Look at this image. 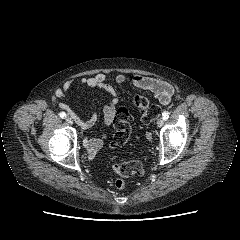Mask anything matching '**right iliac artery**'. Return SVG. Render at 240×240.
Here are the masks:
<instances>
[{
  "instance_id": "82829eb1",
  "label": "right iliac artery",
  "mask_w": 240,
  "mask_h": 240,
  "mask_svg": "<svg viewBox=\"0 0 240 240\" xmlns=\"http://www.w3.org/2000/svg\"><path fill=\"white\" fill-rule=\"evenodd\" d=\"M59 116H60L61 118H65V117H66V113H65V112H61V113L59 114Z\"/></svg>"
}]
</instances>
